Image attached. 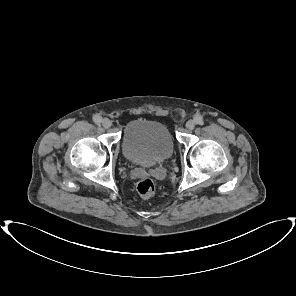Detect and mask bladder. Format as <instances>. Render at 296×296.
<instances>
[{
  "instance_id": "31cf9c89",
  "label": "bladder",
  "mask_w": 296,
  "mask_h": 296,
  "mask_svg": "<svg viewBox=\"0 0 296 296\" xmlns=\"http://www.w3.org/2000/svg\"><path fill=\"white\" fill-rule=\"evenodd\" d=\"M121 146L124 157L141 166L162 163L174 151L168 127L162 122L147 119L132 120L125 126Z\"/></svg>"
}]
</instances>
